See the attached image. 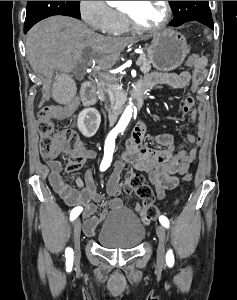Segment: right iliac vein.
Returning a JSON list of instances; mask_svg holds the SVG:
<instances>
[{
	"mask_svg": "<svg viewBox=\"0 0 237 300\" xmlns=\"http://www.w3.org/2000/svg\"><path fill=\"white\" fill-rule=\"evenodd\" d=\"M74 231V252L78 256L80 254V234H81V222L80 219H76L73 226Z\"/></svg>",
	"mask_w": 237,
	"mask_h": 300,
	"instance_id": "63e3f726",
	"label": "right iliac vein"
}]
</instances>
